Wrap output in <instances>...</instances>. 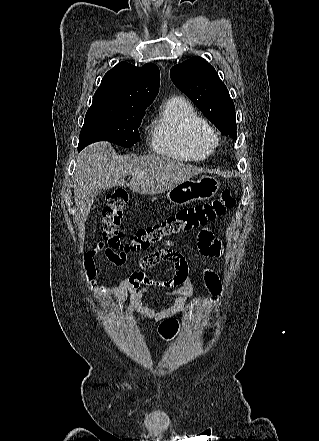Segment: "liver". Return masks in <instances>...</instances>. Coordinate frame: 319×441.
<instances>
[{
    "instance_id": "liver-1",
    "label": "liver",
    "mask_w": 319,
    "mask_h": 441,
    "mask_svg": "<svg viewBox=\"0 0 319 441\" xmlns=\"http://www.w3.org/2000/svg\"><path fill=\"white\" fill-rule=\"evenodd\" d=\"M199 167L186 165L168 157L118 155L108 142L86 147L76 167L74 198L77 217L86 221L95 198L102 189L126 186L138 194L164 193L180 182L196 176ZM129 174V184L124 180Z\"/></svg>"
}]
</instances>
